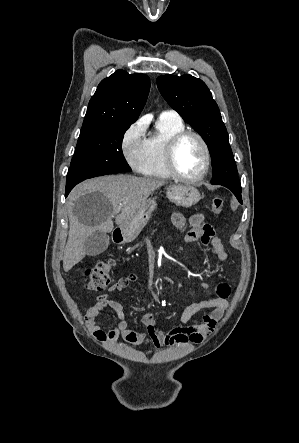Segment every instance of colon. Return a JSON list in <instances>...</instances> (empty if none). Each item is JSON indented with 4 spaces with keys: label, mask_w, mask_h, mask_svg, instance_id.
Listing matches in <instances>:
<instances>
[{
    "label": "colon",
    "mask_w": 299,
    "mask_h": 443,
    "mask_svg": "<svg viewBox=\"0 0 299 443\" xmlns=\"http://www.w3.org/2000/svg\"><path fill=\"white\" fill-rule=\"evenodd\" d=\"M224 208V200L220 197L212 199V212L220 214ZM114 265L111 259L98 262L94 267L85 271L86 287L91 291H98L107 287L111 282L110 272Z\"/></svg>",
    "instance_id": "5ec220e1"
}]
</instances>
